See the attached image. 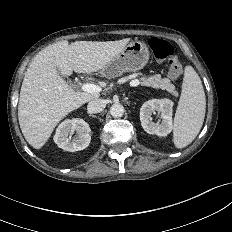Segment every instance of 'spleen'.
Segmentation results:
<instances>
[{
    "label": "spleen",
    "instance_id": "1",
    "mask_svg": "<svg viewBox=\"0 0 232 232\" xmlns=\"http://www.w3.org/2000/svg\"><path fill=\"white\" fill-rule=\"evenodd\" d=\"M206 108L202 82L192 66H186L182 92L174 117L173 142L177 148L188 146L198 135Z\"/></svg>",
    "mask_w": 232,
    "mask_h": 232
}]
</instances>
